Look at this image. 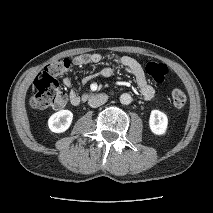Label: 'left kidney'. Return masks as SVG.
Instances as JSON below:
<instances>
[{"label": "left kidney", "mask_w": 213, "mask_h": 213, "mask_svg": "<svg viewBox=\"0 0 213 213\" xmlns=\"http://www.w3.org/2000/svg\"><path fill=\"white\" fill-rule=\"evenodd\" d=\"M151 131L156 135H164L168 126L167 115L159 110H152L149 118Z\"/></svg>", "instance_id": "obj_1"}]
</instances>
